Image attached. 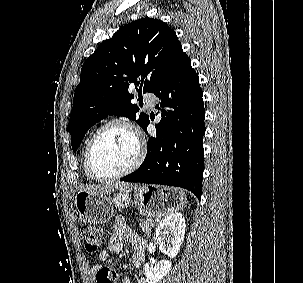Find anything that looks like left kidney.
Here are the masks:
<instances>
[{
    "label": "left kidney",
    "instance_id": "obj_1",
    "mask_svg": "<svg viewBox=\"0 0 303 283\" xmlns=\"http://www.w3.org/2000/svg\"><path fill=\"white\" fill-rule=\"evenodd\" d=\"M185 231L186 222L181 213L163 219L155 232L160 251L169 258H175L180 251ZM171 266L170 260H161L155 265L146 263L144 270L147 283H159L170 272Z\"/></svg>",
    "mask_w": 303,
    "mask_h": 283
}]
</instances>
